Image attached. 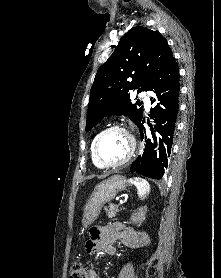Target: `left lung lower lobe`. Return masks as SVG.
Masks as SVG:
<instances>
[{
    "mask_svg": "<svg viewBox=\"0 0 221 278\" xmlns=\"http://www.w3.org/2000/svg\"><path fill=\"white\" fill-rule=\"evenodd\" d=\"M150 91L156 93L151 102H157V105L151 109L150 117L156 123L158 136L152 132L153 143L146 140L142 154L132 163L130 171L161 179L168 167L179 108V68L175 58H172L166 70L154 81ZM144 121L143 118L138 126L141 140L144 139Z\"/></svg>",
    "mask_w": 221,
    "mask_h": 278,
    "instance_id": "obj_1",
    "label": "left lung lower lobe"
}]
</instances>
